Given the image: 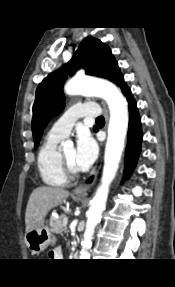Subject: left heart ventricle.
I'll return each instance as SVG.
<instances>
[{
  "mask_svg": "<svg viewBox=\"0 0 175 287\" xmlns=\"http://www.w3.org/2000/svg\"><path fill=\"white\" fill-rule=\"evenodd\" d=\"M62 152L64 153V155L67 158V160L69 161V163L73 167L78 168L77 163H76V157H75V148H73V147L66 148Z\"/></svg>",
  "mask_w": 175,
  "mask_h": 287,
  "instance_id": "1",
  "label": "left heart ventricle"
}]
</instances>
